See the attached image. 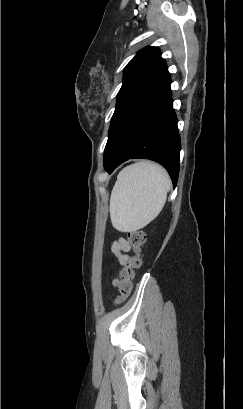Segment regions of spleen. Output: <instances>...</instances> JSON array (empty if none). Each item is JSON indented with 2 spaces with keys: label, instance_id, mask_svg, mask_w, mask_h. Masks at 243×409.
Segmentation results:
<instances>
[{
  "label": "spleen",
  "instance_id": "3e777b00",
  "mask_svg": "<svg viewBox=\"0 0 243 409\" xmlns=\"http://www.w3.org/2000/svg\"><path fill=\"white\" fill-rule=\"evenodd\" d=\"M171 181L166 170L150 161L123 168L110 197V218L122 232L136 231L154 220L164 207Z\"/></svg>",
  "mask_w": 243,
  "mask_h": 409
}]
</instances>
